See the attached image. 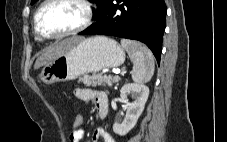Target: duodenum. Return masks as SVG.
Returning a JSON list of instances; mask_svg holds the SVG:
<instances>
[{"label":"duodenum","instance_id":"obj_1","mask_svg":"<svg viewBox=\"0 0 227 142\" xmlns=\"http://www.w3.org/2000/svg\"><path fill=\"white\" fill-rule=\"evenodd\" d=\"M107 112H108V104L105 102L99 108V112H98L99 117L102 119L105 118L107 115Z\"/></svg>","mask_w":227,"mask_h":142}]
</instances>
